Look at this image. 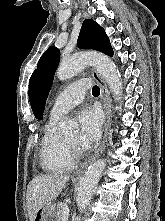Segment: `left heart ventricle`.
Masks as SVG:
<instances>
[{"label": "left heart ventricle", "instance_id": "left-heart-ventricle-1", "mask_svg": "<svg viewBox=\"0 0 165 221\" xmlns=\"http://www.w3.org/2000/svg\"><path fill=\"white\" fill-rule=\"evenodd\" d=\"M66 139H67L69 142L78 145V135H77V133H73V134H71V135H68V136L66 137Z\"/></svg>", "mask_w": 165, "mask_h": 221}]
</instances>
